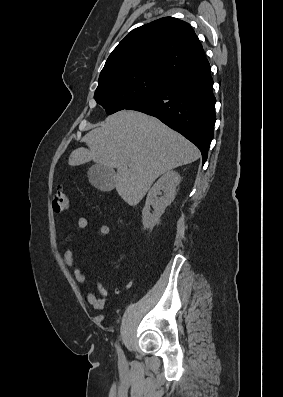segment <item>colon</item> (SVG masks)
I'll return each instance as SVG.
<instances>
[{"mask_svg":"<svg viewBox=\"0 0 283 397\" xmlns=\"http://www.w3.org/2000/svg\"><path fill=\"white\" fill-rule=\"evenodd\" d=\"M70 200L68 195L61 189H58L54 195L53 208L56 212H63L68 210Z\"/></svg>","mask_w":283,"mask_h":397,"instance_id":"colon-1","label":"colon"}]
</instances>
